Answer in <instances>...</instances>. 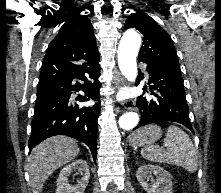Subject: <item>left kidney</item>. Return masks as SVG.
I'll list each match as a JSON object with an SVG mask.
<instances>
[{
    "label": "left kidney",
    "mask_w": 221,
    "mask_h": 193,
    "mask_svg": "<svg viewBox=\"0 0 221 193\" xmlns=\"http://www.w3.org/2000/svg\"><path fill=\"white\" fill-rule=\"evenodd\" d=\"M156 176V181L152 179ZM137 180L147 193H172V177L160 166L142 165L137 170ZM151 178V183L148 179Z\"/></svg>",
    "instance_id": "1"
}]
</instances>
